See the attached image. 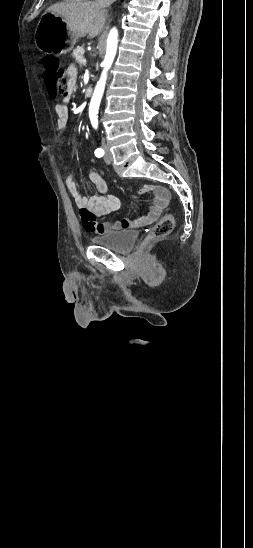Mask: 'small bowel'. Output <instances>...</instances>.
Returning <instances> with one entry per match:
<instances>
[{"mask_svg": "<svg viewBox=\"0 0 253 548\" xmlns=\"http://www.w3.org/2000/svg\"><path fill=\"white\" fill-rule=\"evenodd\" d=\"M66 72L68 76V94L65 96L63 103H57L55 105V112L57 115L56 127L59 133H63L67 127L69 109L65 102L68 100L69 95L76 85L77 72L75 67L70 66ZM89 180L97 191V194L90 198L82 194L72 175L68 174L65 177L66 187L76 205L80 208L79 215L83 226L91 233L102 234L123 228H135L148 225L154 222L170 203L171 194L167 188L162 186L143 185L139 189V195L146 196L150 193L154 194L153 205L144 216L134 220L122 219L120 221L98 223L96 220L97 218L103 217L117 209L118 200L114 195L108 193L107 183L98 171H91L89 173Z\"/></svg>", "mask_w": 253, "mask_h": 548, "instance_id": "c3829d8e", "label": "small bowel"}]
</instances>
